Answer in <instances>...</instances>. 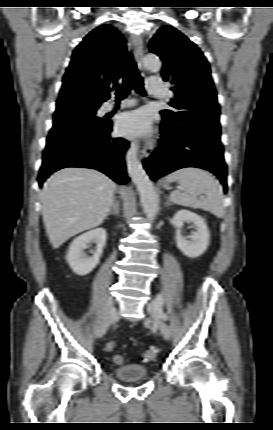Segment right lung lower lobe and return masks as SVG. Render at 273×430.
<instances>
[{"mask_svg":"<svg viewBox=\"0 0 273 430\" xmlns=\"http://www.w3.org/2000/svg\"><path fill=\"white\" fill-rule=\"evenodd\" d=\"M112 123L90 135L47 144L38 182L42 186L53 172L65 167H86L99 170L120 184L129 181L124 154L129 143L122 138L110 137Z\"/></svg>","mask_w":273,"mask_h":430,"instance_id":"right-lung-lower-lobe-1","label":"right lung lower lobe"}]
</instances>
